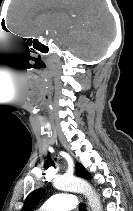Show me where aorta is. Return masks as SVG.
Returning a JSON list of instances; mask_svg holds the SVG:
<instances>
[{
  "label": "aorta",
  "mask_w": 133,
  "mask_h": 211,
  "mask_svg": "<svg viewBox=\"0 0 133 211\" xmlns=\"http://www.w3.org/2000/svg\"><path fill=\"white\" fill-rule=\"evenodd\" d=\"M53 186L58 190L83 194L87 198L92 211H102L100 198L87 181L75 176L63 175L54 179Z\"/></svg>",
  "instance_id": "obj_1"
}]
</instances>
